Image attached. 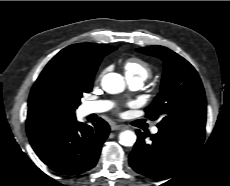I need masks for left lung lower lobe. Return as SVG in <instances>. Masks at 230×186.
<instances>
[{
    "mask_svg": "<svg viewBox=\"0 0 230 186\" xmlns=\"http://www.w3.org/2000/svg\"><path fill=\"white\" fill-rule=\"evenodd\" d=\"M154 135L137 130V142L129 155L130 166L139 174L167 179L186 166L201 148L205 126L160 127ZM150 137V141H146Z\"/></svg>",
    "mask_w": 230,
    "mask_h": 186,
    "instance_id": "obj_1",
    "label": "left lung lower lobe"
}]
</instances>
